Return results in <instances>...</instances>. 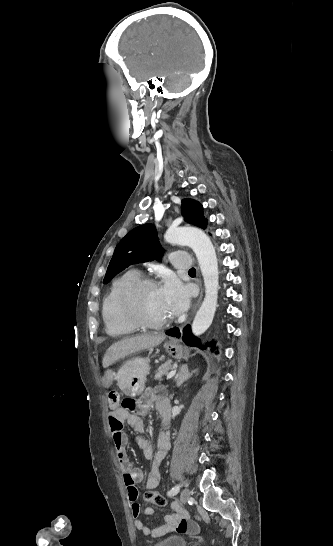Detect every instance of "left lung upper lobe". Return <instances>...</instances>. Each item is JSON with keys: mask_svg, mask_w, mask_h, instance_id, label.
I'll list each match as a JSON object with an SVG mask.
<instances>
[{"mask_svg": "<svg viewBox=\"0 0 333 546\" xmlns=\"http://www.w3.org/2000/svg\"><path fill=\"white\" fill-rule=\"evenodd\" d=\"M181 208L186 222L206 228L207 219L204 218L203 207L198 201L184 199ZM163 252L153 225L144 224L134 228L116 246L103 283H108L116 274L132 264L160 260Z\"/></svg>", "mask_w": 333, "mask_h": 546, "instance_id": "left-lung-upper-lobe-1", "label": "left lung upper lobe"}]
</instances>
